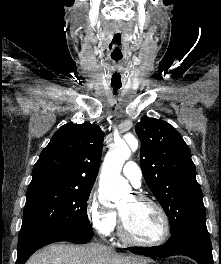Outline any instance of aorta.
Returning <instances> with one entry per match:
<instances>
[{"label": "aorta", "mask_w": 221, "mask_h": 264, "mask_svg": "<svg viewBox=\"0 0 221 264\" xmlns=\"http://www.w3.org/2000/svg\"><path fill=\"white\" fill-rule=\"evenodd\" d=\"M137 148L138 140L131 137L129 145L121 140L113 150L107 153L99 180L100 199L102 201L117 204L125 192L129 190L128 181L120 173L125 160L131 156V149L136 150Z\"/></svg>", "instance_id": "aorta-1"}]
</instances>
